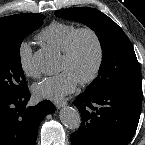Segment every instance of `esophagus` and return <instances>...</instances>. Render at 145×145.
Segmentation results:
<instances>
[{
	"mask_svg": "<svg viewBox=\"0 0 145 145\" xmlns=\"http://www.w3.org/2000/svg\"><path fill=\"white\" fill-rule=\"evenodd\" d=\"M66 101H55L54 102V105L57 107V108H62L66 105Z\"/></svg>",
	"mask_w": 145,
	"mask_h": 145,
	"instance_id": "obj_1",
	"label": "esophagus"
}]
</instances>
